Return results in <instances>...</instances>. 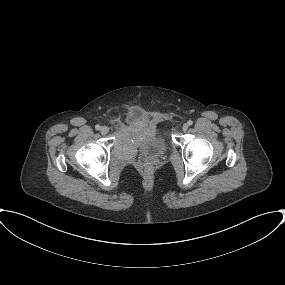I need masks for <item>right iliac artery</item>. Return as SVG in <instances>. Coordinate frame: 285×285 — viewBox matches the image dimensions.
I'll use <instances>...</instances> for the list:
<instances>
[{
    "instance_id": "right-iliac-artery-1",
    "label": "right iliac artery",
    "mask_w": 285,
    "mask_h": 285,
    "mask_svg": "<svg viewBox=\"0 0 285 285\" xmlns=\"http://www.w3.org/2000/svg\"><path fill=\"white\" fill-rule=\"evenodd\" d=\"M95 129H96V130H100V125L97 124V125L95 126Z\"/></svg>"
}]
</instances>
